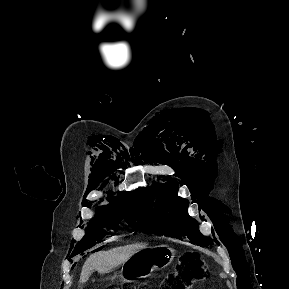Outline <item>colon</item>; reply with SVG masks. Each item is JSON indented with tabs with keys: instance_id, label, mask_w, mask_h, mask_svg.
I'll list each match as a JSON object with an SVG mask.
<instances>
[{
	"instance_id": "colon-1",
	"label": "colon",
	"mask_w": 289,
	"mask_h": 289,
	"mask_svg": "<svg viewBox=\"0 0 289 289\" xmlns=\"http://www.w3.org/2000/svg\"><path fill=\"white\" fill-rule=\"evenodd\" d=\"M208 275V268L201 262L196 252H188L183 256L174 275L168 280L165 289H190L203 281ZM133 286L114 289H132Z\"/></svg>"
}]
</instances>
